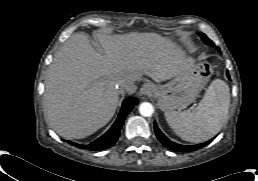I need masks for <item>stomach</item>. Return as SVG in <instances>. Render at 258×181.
I'll list each match as a JSON object with an SVG mask.
<instances>
[{"mask_svg":"<svg viewBox=\"0 0 258 181\" xmlns=\"http://www.w3.org/2000/svg\"><path fill=\"white\" fill-rule=\"evenodd\" d=\"M211 74V64L203 62L164 85H154L153 96L157 99L159 108L167 112L187 107L195 101Z\"/></svg>","mask_w":258,"mask_h":181,"instance_id":"obj_1","label":"stomach"}]
</instances>
